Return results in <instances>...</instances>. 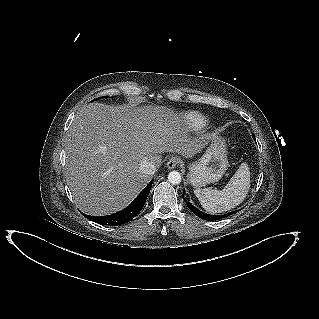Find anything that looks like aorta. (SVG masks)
<instances>
[{
    "instance_id": "762f6f07",
    "label": "aorta",
    "mask_w": 319,
    "mask_h": 319,
    "mask_svg": "<svg viewBox=\"0 0 319 319\" xmlns=\"http://www.w3.org/2000/svg\"><path fill=\"white\" fill-rule=\"evenodd\" d=\"M168 181L171 183V184H179L181 182V175L179 172L177 171H171L169 172L168 174Z\"/></svg>"
}]
</instances>
